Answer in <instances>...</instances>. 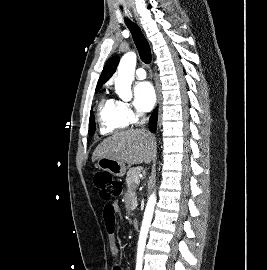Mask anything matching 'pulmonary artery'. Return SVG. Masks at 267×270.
Listing matches in <instances>:
<instances>
[{"instance_id":"1","label":"pulmonary artery","mask_w":267,"mask_h":270,"mask_svg":"<svg viewBox=\"0 0 267 270\" xmlns=\"http://www.w3.org/2000/svg\"><path fill=\"white\" fill-rule=\"evenodd\" d=\"M135 76L137 79L142 80L146 78V72L143 68H138L135 72Z\"/></svg>"}]
</instances>
